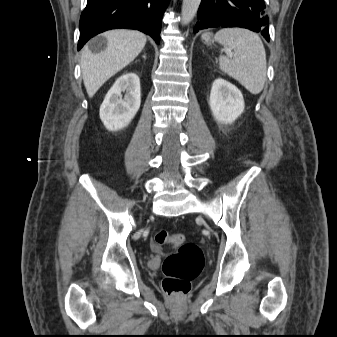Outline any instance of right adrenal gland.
Here are the masks:
<instances>
[{"label":"right adrenal gland","mask_w":337,"mask_h":337,"mask_svg":"<svg viewBox=\"0 0 337 337\" xmlns=\"http://www.w3.org/2000/svg\"><path fill=\"white\" fill-rule=\"evenodd\" d=\"M143 58H144V59H146V56H145V55H143Z\"/></svg>","instance_id":"1"}]
</instances>
